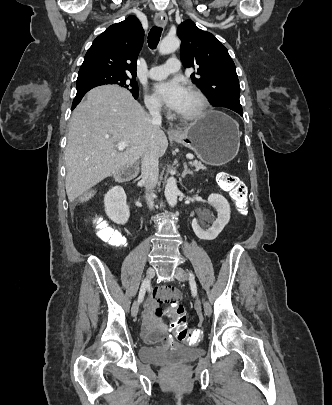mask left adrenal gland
<instances>
[{"instance_id":"obj_1","label":"left adrenal gland","mask_w":332,"mask_h":405,"mask_svg":"<svg viewBox=\"0 0 332 405\" xmlns=\"http://www.w3.org/2000/svg\"><path fill=\"white\" fill-rule=\"evenodd\" d=\"M183 167H184V171L182 173V178H185V176L187 174H191V175L193 174V172L191 170H188V166L186 163L183 164Z\"/></svg>"}]
</instances>
